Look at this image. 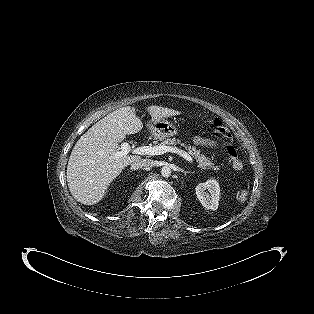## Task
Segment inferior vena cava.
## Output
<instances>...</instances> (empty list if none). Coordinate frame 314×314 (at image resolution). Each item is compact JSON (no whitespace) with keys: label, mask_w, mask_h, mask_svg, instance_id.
<instances>
[{"label":"inferior vena cava","mask_w":314,"mask_h":314,"mask_svg":"<svg viewBox=\"0 0 314 314\" xmlns=\"http://www.w3.org/2000/svg\"><path fill=\"white\" fill-rule=\"evenodd\" d=\"M152 167V161L149 159H140L131 163V170H138L142 168H150Z\"/></svg>","instance_id":"inferior-vena-cava-1"}]
</instances>
